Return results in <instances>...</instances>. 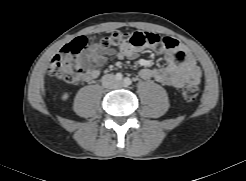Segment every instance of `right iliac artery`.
I'll list each match as a JSON object with an SVG mask.
<instances>
[{
	"instance_id": "1",
	"label": "right iliac artery",
	"mask_w": 246,
	"mask_h": 181,
	"mask_svg": "<svg viewBox=\"0 0 246 181\" xmlns=\"http://www.w3.org/2000/svg\"><path fill=\"white\" fill-rule=\"evenodd\" d=\"M123 79V75L121 73L116 74V80L121 81Z\"/></svg>"
}]
</instances>
